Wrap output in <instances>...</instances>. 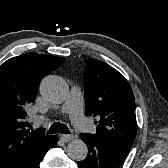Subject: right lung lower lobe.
<instances>
[{"instance_id":"1","label":"right lung lower lobe","mask_w":168,"mask_h":168,"mask_svg":"<svg viewBox=\"0 0 168 168\" xmlns=\"http://www.w3.org/2000/svg\"><path fill=\"white\" fill-rule=\"evenodd\" d=\"M57 143V138L56 136H53V139L48 147V149H46L38 158H36L31 164H29L26 168H39V163L41 162V160L43 159L44 155L46 154V152L53 147L55 144Z\"/></svg>"}]
</instances>
